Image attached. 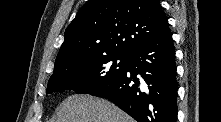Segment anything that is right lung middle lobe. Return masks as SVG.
Wrapping results in <instances>:
<instances>
[{
	"label": "right lung middle lobe",
	"mask_w": 221,
	"mask_h": 122,
	"mask_svg": "<svg viewBox=\"0 0 221 122\" xmlns=\"http://www.w3.org/2000/svg\"><path fill=\"white\" fill-rule=\"evenodd\" d=\"M130 56L106 55L76 64L50 77L47 94L66 89L91 94L108 86L127 68Z\"/></svg>",
	"instance_id": "1"
}]
</instances>
